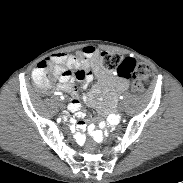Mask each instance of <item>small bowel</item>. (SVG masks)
Instances as JSON below:
<instances>
[{
  "label": "small bowel",
  "mask_w": 183,
  "mask_h": 183,
  "mask_svg": "<svg viewBox=\"0 0 183 183\" xmlns=\"http://www.w3.org/2000/svg\"><path fill=\"white\" fill-rule=\"evenodd\" d=\"M85 59L82 62L75 61L71 55L65 53L53 54L48 58L49 64L52 66L53 76L58 79L59 91L67 92L72 96L68 104V108L75 112L78 117H83L82 104L80 101L79 90L76 82L79 83L80 89H86L93 80L94 74L98 77L96 84L89 94H83L81 99L93 106L100 108L98 103L99 94L104 91L109 94V109L112 108L115 95L128 89L129 83L127 80L117 77H112L105 73L100 68L98 50L93 46H86L82 50ZM102 113L106 115L109 109L100 108ZM120 123V118L117 115H112L108 122L92 123L89 126L85 122L77 120L74 117H69L66 120L67 129L75 136L78 144H83L85 140L84 131L88 128L91 134V139L96 144H101L105 140L103 129H107L110 124L117 126Z\"/></svg>",
  "instance_id": "c3829d8e"
}]
</instances>
